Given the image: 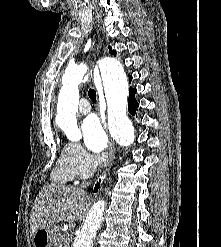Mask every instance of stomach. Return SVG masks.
<instances>
[{"label":"stomach","mask_w":221,"mask_h":247,"mask_svg":"<svg viewBox=\"0 0 221 247\" xmlns=\"http://www.w3.org/2000/svg\"><path fill=\"white\" fill-rule=\"evenodd\" d=\"M32 243L34 247H51L53 243V231L50 228L37 230L32 237Z\"/></svg>","instance_id":"0dacf381"}]
</instances>
